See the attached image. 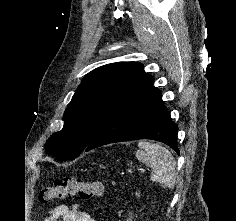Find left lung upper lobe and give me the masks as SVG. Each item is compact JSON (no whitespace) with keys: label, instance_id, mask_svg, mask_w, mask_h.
<instances>
[{"label":"left lung upper lobe","instance_id":"obj_1","mask_svg":"<svg viewBox=\"0 0 236 221\" xmlns=\"http://www.w3.org/2000/svg\"><path fill=\"white\" fill-rule=\"evenodd\" d=\"M149 77L135 62L107 64L88 73L65 110L63 129L47 140L46 152L62 160L75 158L110 113Z\"/></svg>","mask_w":236,"mask_h":221}]
</instances>
